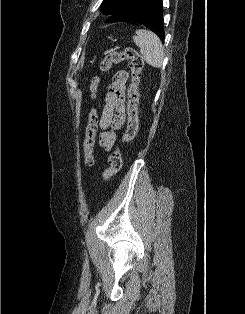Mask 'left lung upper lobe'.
Here are the masks:
<instances>
[{
	"label": "left lung upper lobe",
	"mask_w": 245,
	"mask_h": 314,
	"mask_svg": "<svg viewBox=\"0 0 245 314\" xmlns=\"http://www.w3.org/2000/svg\"><path fill=\"white\" fill-rule=\"evenodd\" d=\"M146 0H103L100 10L103 14L113 15L106 22H127L142 7Z\"/></svg>",
	"instance_id": "1"
}]
</instances>
